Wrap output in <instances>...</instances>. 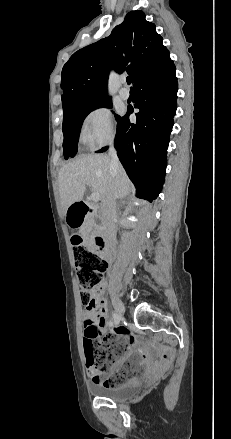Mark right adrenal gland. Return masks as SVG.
Masks as SVG:
<instances>
[{"instance_id": "right-adrenal-gland-1", "label": "right adrenal gland", "mask_w": 231, "mask_h": 439, "mask_svg": "<svg viewBox=\"0 0 231 439\" xmlns=\"http://www.w3.org/2000/svg\"><path fill=\"white\" fill-rule=\"evenodd\" d=\"M120 201H121V203H124V200H123L122 198H121V200H120Z\"/></svg>"}]
</instances>
